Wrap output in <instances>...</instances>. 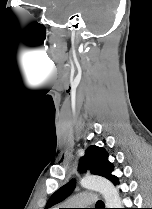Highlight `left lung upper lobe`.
<instances>
[{
  "instance_id": "obj_1",
  "label": "left lung upper lobe",
  "mask_w": 152,
  "mask_h": 209,
  "mask_svg": "<svg viewBox=\"0 0 152 209\" xmlns=\"http://www.w3.org/2000/svg\"><path fill=\"white\" fill-rule=\"evenodd\" d=\"M90 170L92 174L105 177L114 185L119 184L116 176L112 175L114 166L108 161V153L104 148L90 146L86 149L85 155L80 159L79 170L81 172ZM76 182L74 179L58 189L48 200L45 209H49L53 205L61 202L68 197L75 189Z\"/></svg>"
}]
</instances>
